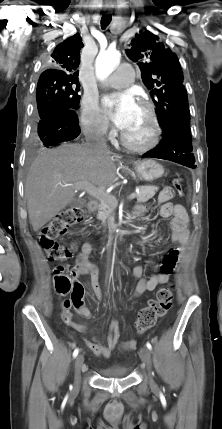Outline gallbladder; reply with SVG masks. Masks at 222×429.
<instances>
[{
  "instance_id": "1",
  "label": "gallbladder",
  "mask_w": 222,
  "mask_h": 429,
  "mask_svg": "<svg viewBox=\"0 0 222 429\" xmlns=\"http://www.w3.org/2000/svg\"><path fill=\"white\" fill-rule=\"evenodd\" d=\"M82 205V203L79 201V200H73L71 203H70V206L71 207H76V206H81Z\"/></svg>"
}]
</instances>
